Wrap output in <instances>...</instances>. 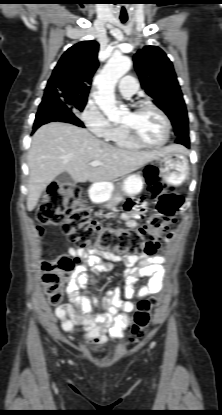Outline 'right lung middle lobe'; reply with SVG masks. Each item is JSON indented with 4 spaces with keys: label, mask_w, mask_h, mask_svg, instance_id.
<instances>
[{
    "label": "right lung middle lobe",
    "mask_w": 222,
    "mask_h": 415,
    "mask_svg": "<svg viewBox=\"0 0 222 415\" xmlns=\"http://www.w3.org/2000/svg\"><path fill=\"white\" fill-rule=\"evenodd\" d=\"M50 100L51 99L43 98L41 104H45ZM59 100L62 101L70 110L82 111L86 105L87 97H76L72 94L64 95L59 93Z\"/></svg>",
    "instance_id": "dd1d6c3e"
}]
</instances>
